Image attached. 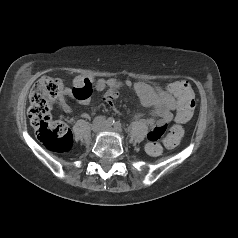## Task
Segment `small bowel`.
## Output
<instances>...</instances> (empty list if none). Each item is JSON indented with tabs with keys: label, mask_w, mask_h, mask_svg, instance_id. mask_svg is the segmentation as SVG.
<instances>
[{
	"label": "small bowel",
	"mask_w": 238,
	"mask_h": 238,
	"mask_svg": "<svg viewBox=\"0 0 238 238\" xmlns=\"http://www.w3.org/2000/svg\"><path fill=\"white\" fill-rule=\"evenodd\" d=\"M180 83L181 81L171 83L163 89L142 81L132 82L128 79L120 81L115 78H101L92 82L87 77L78 76L73 81V89L64 90L59 106L64 112H70L71 106L67 102V97L71 95L79 102L89 104L92 89L97 91L106 90L105 99L111 103L112 100L117 98L119 89L128 88L138 96L142 105L153 108L152 116L147 119V123L151 127L165 126L174 119L173 111H176L178 103L176 89ZM76 91L78 95L75 94ZM84 117H87V115H84Z\"/></svg>",
	"instance_id": "small-bowel-1"
}]
</instances>
